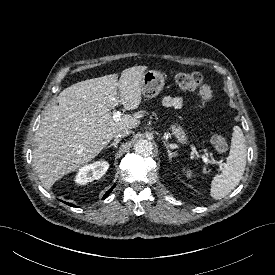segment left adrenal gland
<instances>
[{
	"label": "left adrenal gland",
	"mask_w": 275,
	"mask_h": 275,
	"mask_svg": "<svg viewBox=\"0 0 275 275\" xmlns=\"http://www.w3.org/2000/svg\"><path fill=\"white\" fill-rule=\"evenodd\" d=\"M164 144H165V143H164ZM165 147H166V149H167V153H168V156H169V160L171 161L173 157H176V155H175L174 153H172V152L169 150V148H168V146H167L166 144H165Z\"/></svg>",
	"instance_id": "a2214340"
}]
</instances>
